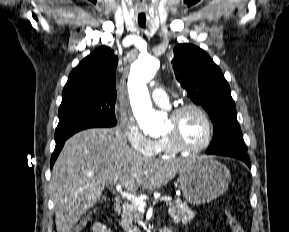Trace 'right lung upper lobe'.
Wrapping results in <instances>:
<instances>
[{
    "instance_id": "cb5924a9",
    "label": "right lung upper lobe",
    "mask_w": 289,
    "mask_h": 232,
    "mask_svg": "<svg viewBox=\"0 0 289 232\" xmlns=\"http://www.w3.org/2000/svg\"><path fill=\"white\" fill-rule=\"evenodd\" d=\"M117 61V56L106 46L99 47L92 52L71 71L63 89L62 103L89 96L116 99L115 69Z\"/></svg>"
}]
</instances>
